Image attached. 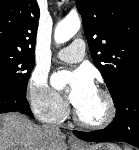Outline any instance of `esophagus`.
<instances>
[{
    "instance_id": "esophagus-1",
    "label": "esophagus",
    "mask_w": 139,
    "mask_h": 150,
    "mask_svg": "<svg viewBox=\"0 0 139 150\" xmlns=\"http://www.w3.org/2000/svg\"><path fill=\"white\" fill-rule=\"evenodd\" d=\"M68 141L70 144H73V145H81L82 144L74 135H70Z\"/></svg>"
}]
</instances>
